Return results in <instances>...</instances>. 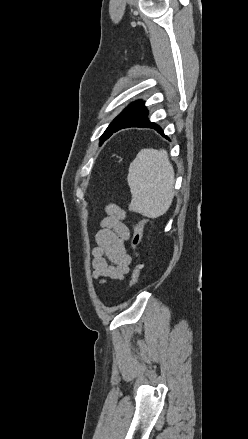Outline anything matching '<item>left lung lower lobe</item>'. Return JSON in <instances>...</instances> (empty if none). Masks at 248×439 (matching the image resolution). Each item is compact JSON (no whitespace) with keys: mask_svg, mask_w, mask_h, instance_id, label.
Returning <instances> with one entry per match:
<instances>
[{"mask_svg":"<svg viewBox=\"0 0 248 439\" xmlns=\"http://www.w3.org/2000/svg\"><path fill=\"white\" fill-rule=\"evenodd\" d=\"M147 115L148 111L144 106V102H141L130 114H128L124 119H122L115 127L110 130L106 139L109 138L114 132L129 127L153 128L160 134L164 135L160 126L150 122L147 118Z\"/></svg>","mask_w":248,"mask_h":439,"instance_id":"0a47b994","label":"left lung lower lobe"}]
</instances>
